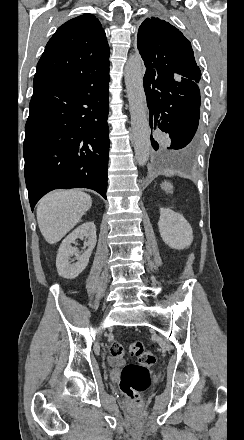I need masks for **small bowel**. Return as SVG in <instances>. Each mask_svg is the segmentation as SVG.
Here are the masks:
<instances>
[{"label": "small bowel", "instance_id": "obj_1", "mask_svg": "<svg viewBox=\"0 0 244 440\" xmlns=\"http://www.w3.org/2000/svg\"><path fill=\"white\" fill-rule=\"evenodd\" d=\"M116 364H117V365H120V363H119V362H116Z\"/></svg>", "mask_w": 244, "mask_h": 440}]
</instances>
